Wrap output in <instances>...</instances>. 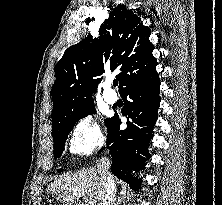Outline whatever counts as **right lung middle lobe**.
<instances>
[{
	"mask_svg": "<svg viewBox=\"0 0 222 205\" xmlns=\"http://www.w3.org/2000/svg\"><path fill=\"white\" fill-rule=\"evenodd\" d=\"M92 113H95L94 105L86 107L72 116L52 122L53 123L52 137L54 140V152H55L54 156L56 158L61 156L64 150L65 141L68 137V134L71 132L72 128L74 127L75 123L78 122L83 117H86ZM110 120L111 119H106L105 124L108 125ZM61 171L62 169L58 170V172Z\"/></svg>",
	"mask_w": 222,
	"mask_h": 205,
	"instance_id": "1",
	"label": "right lung middle lobe"
}]
</instances>
